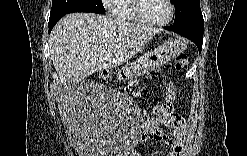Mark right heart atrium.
<instances>
[{
	"label": "right heart atrium",
	"instance_id": "d8ad5b80",
	"mask_svg": "<svg viewBox=\"0 0 247 156\" xmlns=\"http://www.w3.org/2000/svg\"><path fill=\"white\" fill-rule=\"evenodd\" d=\"M117 1L115 0H105L103 3L107 8H110V11L112 12L113 6L116 4Z\"/></svg>",
	"mask_w": 247,
	"mask_h": 156
}]
</instances>
